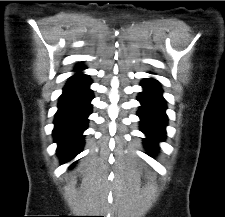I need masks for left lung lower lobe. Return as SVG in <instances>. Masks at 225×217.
Segmentation results:
<instances>
[{"label":"left lung lower lobe","mask_w":225,"mask_h":217,"mask_svg":"<svg viewBox=\"0 0 225 217\" xmlns=\"http://www.w3.org/2000/svg\"><path fill=\"white\" fill-rule=\"evenodd\" d=\"M141 85L143 92L138 97L141 103L138 111V116L141 119V131L147 136L144 139L145 147L150 152H156L157 143L165 138L166 104L158 81L150 78L144 80Z\"/></svg>","instance_id":"1"}]
</instances>
